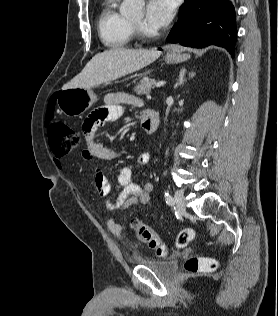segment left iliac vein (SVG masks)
<instances>
[{"label": "left iliac vein", "instance_id": "1", "mask_svg": "<svg viewBox=\"0 0 278 316\" xmlns=\"http://www.w3.org/2000/svg\"><path fill=\"white\" fill-rule=\"evenodd\" d=\"M175 204L179 212L185 213L186 211V204H185V196L182 191H176L175 195Z\"/></svg>", "mask_w": 278, "mask_h": 316}]
</instances>
